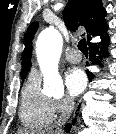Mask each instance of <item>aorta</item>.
<instances>
[{"instance_id": "aorta-1", "label": "aorta", "mask_w": 116, "mask_h": 134, "mask_svg": "<svg viewBox=\"0 0 116 134\" xmlns=\"http://www.w3.org/2000/svg\"><path fill=\"white\" fill-rule=\"evenodd\" d=\"M62 51V36L50 26L41 32L36 43V54L43 73L44 91L59 96L64 93L63 80L57 70V62Z\"/></svg>"}]
</instances>
